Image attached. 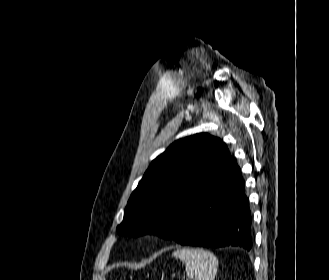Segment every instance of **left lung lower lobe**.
I'll list each match as a JSON object with an SVG mask.
<instances>
[{
  "label": "left lung lower lobe",
  "instance_id": "left-lung-lower-lobe-1",
  "mask_svg": "<svg viewBox=\"0 0 329 280\" xmlns=\"http://www.w3.org/2000/svg\"><path fill=\"white\" fill-rule=\"evenodd\" d=\"M240 168L233 160L217 191L204 194L196 206L161 237L182 245L202 247L236 246L250 250L251 213Z\"/></svg>",
  "mask_w": 329,
  "mask_h": 280
}]
</instances>
